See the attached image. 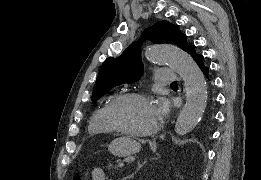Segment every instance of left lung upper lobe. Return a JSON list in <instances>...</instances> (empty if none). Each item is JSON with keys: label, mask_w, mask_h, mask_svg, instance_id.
I'll return each mask as SVG.
<instances>
[{"label": "left lung upper lobe", "mask_w": 261, "mask_h": 180, "mask_svg": "<svg viewBox=\"0 0 261 180\" xmlns=\"http://www.w3.org/2000/svg\"><path fill=\"white\" fill-rule=\"evenodd\" d=\"M143 38L152 40L155 44L171 43L188 52L192 45H188L184 35L176 25L167 21L157 22L146 29ZM140 44L134 43L126 48L118 58H107L102 64L96 80L91 100H98L111 88L133 83L143 73V65L140 59Z\"/></svg>", "instance_id": "obj_1"}]
</instances>
